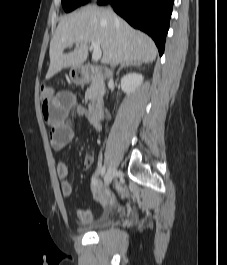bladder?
<instances>
[{
	"label": "bladder",
	"mask_w": 227,
	"mask_h": 265,
	"mask_svg": "<svg viewBox=\"0 0 227 265\" xmlns=\"http://www.w3.org/2000/svg\"><path fill=\"white\" fill-rule=\"evenodd\" d=\"M114 223L110 214L106 215L99 223L90 226L77 227L78 232H94L111 226Z\"/></svg>",
	"instance_id": "obj_1"
}]
</instances>
